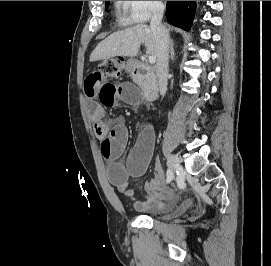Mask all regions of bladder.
Wrapping results in <instances>:
<instances>
[{"label":"bladder","instance_id":"31cf9c89","mask_svg":"<svg viewBox=\"0 0 271 266\" xmlns=\"http://www.w3.org/2000/svg\"><path fill=\"white\" fill-rule=\"evenodd\" d=\"M195 207H196V201L193 199H187L183 201L180 205L167 210V215L164 218H167V216L173 215V214L182 215L188 211L194 210Z\"/></svg>","mask_w":271,"mask_h":266}]
</instances>
